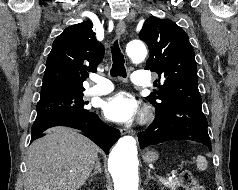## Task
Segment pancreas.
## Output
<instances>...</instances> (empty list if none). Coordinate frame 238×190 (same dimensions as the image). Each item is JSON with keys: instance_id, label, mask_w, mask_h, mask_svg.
I'll return each mask as SVG.
<instances>
[{"instance_id": "1", "label": "pancreas", "mask_w": 238, "mask_h": 190, "mask_svg": "<svg viewBox=\"0 0 238 190\" xmlns=\"http://www.w3.org/2000/svg\"><path fill=\"white\" fill-rule=\"evenodd\" d=\"M160 182L170 190H176V188L180 186L178 179H160Z\"/></svg>"}]
</instances>
